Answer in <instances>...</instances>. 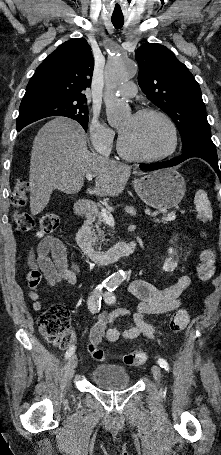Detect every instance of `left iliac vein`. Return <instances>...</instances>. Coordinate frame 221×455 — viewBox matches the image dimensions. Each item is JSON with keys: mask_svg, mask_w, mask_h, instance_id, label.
I'll list each match as a JSON object with an SVG mask.
<instances>
[{"mask_svg": "<svg viewBox=\"0 0 221 455\" xmlns=\"http://www.w3.org/2000/svg\"><path fill=\"white\" fill-rule=\"evenodd\" d=\"M152 374L154 375L156 381L160 384L161 382V369L158 365H153L151 368Z\"/></svg>", "mask_w": 221, "mask_h": 455, "instance_id": "obj_1", "label": "left iliac vein"}]
</instances>
